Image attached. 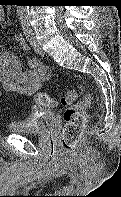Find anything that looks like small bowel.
I'll return each instance as SVG.
<instances>
[{"mask_svg": "<svg viewBox=\"0 0 121 197\" xmlns=\"http://www.w3.org/2000/svg\"><path fill=\"white\" fill-rule=\"evenodd\" d=\"M4 20L5 13L0 8V26ZM14 39L22 51H27V45L21 35H15ZM27 64L28 70L24 71L20 54L12 50L0 51V84L6 91L30 96L49 79V71L38 57L28 58Z\"/></svg>", "mask_w": 121, "mask_h": 197, "instance_id": "small-bowel-1", "label": "small bowel"}]
</instances>
